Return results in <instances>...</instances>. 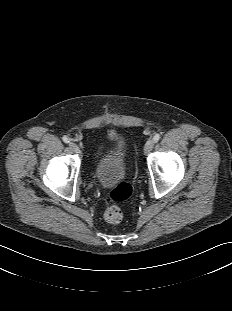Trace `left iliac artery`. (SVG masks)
Wrapping results in <instances>:
<instances>
[{"mask_svg": "<svg viewBox=\"0 0 232 311\" xmlns=\"http://www.w3.org/2000/svg\"><path fill=\"white\" fill-rule=\"evenodd\" d=\"M160 139V134H156L153 138L154 142H158Z\"/></svg>", "mask_w": 232, "mask_h": 311, "instance_id": "1", "label": "left iliac artery"}]
</instances>
